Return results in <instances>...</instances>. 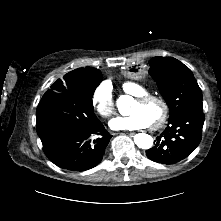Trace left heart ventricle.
<instances>
[{"label":"left heart ventricle","mask_w":221,"mask_h":221,"mask_svg":"<svg viewBox=\"0 0 221 221\" xmlns=\"http://www.w3.org/2000/svg\"><path fill=\"white\" fill-rule=\"evenodd\" d=\"M131 113H141L152 125L158 121L162 114V106L156 101H151L146 104H140L134 102L131 109Z\"/></svg>","instance_id":"1"}]
</instances>
